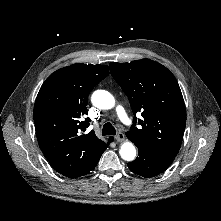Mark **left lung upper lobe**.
<instances>
[{
    "label": "left lung upper lobe",
    "mask_w": 221,
    "mask_h": 221,
    "mask_svg": "<svg viewBox=\"0 0 221 221\" xmlns=\"http://www.w3.org/2000/svg\"><path fill=\"white\" fill-rule=\"evenodd\" d=\"M109 68L134 113V125L126 136L140 148L174 158L181 147L186 110L173 74L149 59L112 62ZM137 112H141L142 119L135 116ZM136 123L141 125L139 129Z\"/></svg>",
    "instance_id": "obj_1"
}]
</instances>
